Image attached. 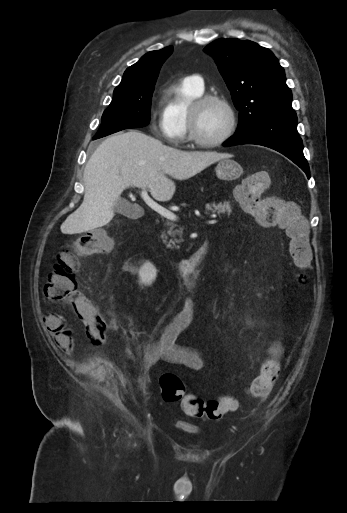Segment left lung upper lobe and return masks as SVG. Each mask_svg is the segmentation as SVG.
<instances>
[{
  "mask_svg": "<svg viewBox=\"0 0 347 513\" xmlns=\"http://www.w3.org/2000/svg\"><path fill=\"white\" fill-rule=\"evenodd\" d=\"M204 50L215 59L240 112L236 134L269 117L296 115L284 69L269 49L249 40L218 39Z\"/></svg>",
  "mask_w": 347,
  "mask_h": 513,
  "instance_id": "obj_1",
  "label": "left lung upper lobe"
}]
</instances>
